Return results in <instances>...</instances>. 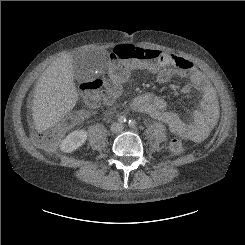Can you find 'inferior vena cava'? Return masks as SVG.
<instances>
[{"instance_id":"1","label":"inferior vena cava","mask_w":245,"mask_h":245,"mask_svg":"<svg viewBox=\"0 0 245 245\" xmlns=\"http://www.w3.org/2000/svg\"><path fill=\"white\" fill-rule=\"evenodd\" d=\"M111 129L115 133L121 132L123 130V125L120 124V123H115V124L112 125Z\"/></svg>"}]
</instances>
